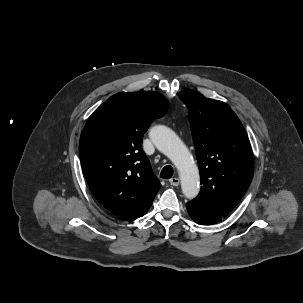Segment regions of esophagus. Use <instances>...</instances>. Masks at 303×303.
Here are the masks:
<instances>
[{
	"mask_svg": "<svg viewBox=\"0 0 303 303\" xmlns=\"http://www.w3.org/2000/svg\"><path fill=\"white\" fill-rule=\"evenodd\" d=\"M172 186H178L180 183V179L178 177H173L169 180Z\"/></svg>",
	"mask_w": 303,
	"mask_h": 303,
	"instance_id": "obj_1",
	"label": "esophagus"
}]
</instances>
